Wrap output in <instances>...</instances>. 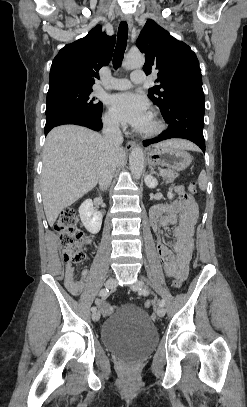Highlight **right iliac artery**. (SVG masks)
Segmentation results:
<instances>
[{
	"instance_id": "1",
	"label": "right iliac artery",
	"mask_w": 247,
	"mask_h": 407,
	"mask_svg": "<svg viewBox=\"0 0 247 407\" xmlns=\"http://www.w3.org/2000/svg\"><path fill=\"white\" fill-rule=\"evenodd\" d=\"M109 288H103V289H101V291L99 292V295L100 296H102V297H107L108 295H109ZM91 310H92V312H95L97 309H96V307H92L91 308Z\"/></svg>"
}]
</instances>
